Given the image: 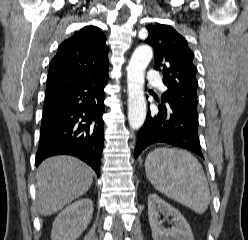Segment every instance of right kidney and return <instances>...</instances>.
Returning <instances> with one entry per match:
<instances>
[{
    "mask_svg": "<svg viewBox=\"0 0 248 240\" xmlns=\"http://www.w3.org/2000/svg\"><path fill=\"white\" fill-rule=\"evenodd\" d=\"M93 202L83 198L67 206L56 217L52 232V240H76L92 219Z\"/></svg>",
    "mask_w": 248,
    "mask_h": 240,
    "instance_id": "right-kidney-1",
    "label": "right kidney"
}]
</instances>
